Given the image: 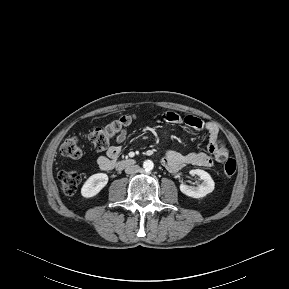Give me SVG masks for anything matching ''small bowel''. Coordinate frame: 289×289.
I'll list each match as a JSON object with an SVG mask.
<instances>
[{
	"label": "small bowel",
	"instance_id": "small-bowel-1",
	"mask_svg": "<svg viewBox=\"0 0 289 289\" xmlns=\"http://www.w3.org/2000/svg\"><path fill=\"white\" fill-rule=\"evenodd\" d=\"M162 119L170 125L185 128L188 135H193L195 133H207L209 135V153L192 152L181 154L175 150L167 149L161 162L164 168L169 172L176 173L189 166L213 168L215 161L223 162L227 159L228 149L214 123L203 122L201 119L192 115L182 117L172 111L164 112L162 114ZM126 138L127 130H123L116 136L115 143L109 147L106 155L98 158L97 163L102 170L109 171L114 168L116 160L122 151V144L125 142Z\"/></svg>",
	"mask_w": 289,
	"mask_h": 289
}]
</instances>
